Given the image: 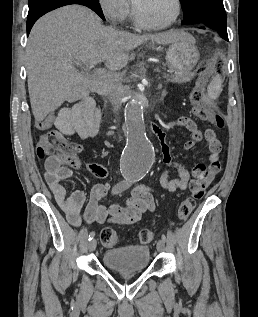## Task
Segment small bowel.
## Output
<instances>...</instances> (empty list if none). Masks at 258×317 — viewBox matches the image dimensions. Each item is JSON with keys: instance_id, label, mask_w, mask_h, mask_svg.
Masks as SVG:
<instances>
[{"instance_id": "1", "label": "small bowel", "mask_w": 258, "mask_h": 317, "mask_svg": "<svg viewBox=\"0 0 258 317\" xmlns=\"http://www.w3.org/2000/svg\"><path fill=\"white\" fill-rule=\"evenodd\" d=\"M100 122V111L95 100L90 96H85L72 107L63 108L56 114L48 115L38 124V128L44 130L54 125L65 135H77L81 139H87L97 136ZM176 125L191 133V139L184 143L186 150L193 149L199 142L205 140L209 150L208 164H198L191 175L182 163L172 159L169 147L164 141V133L157 126H153L154 133L161 141L165 165L160 176V184L169 192L187 189H191L193 192L202 190L213 181L220 171L221 143L212 129H206L203 134L196 123L188 117H179ZM86 167L99 178L108 179L110 177L108 169L100 164L89 162L86 163ZM45 168V179L49 189L59 207L64 211L67 220L74 226H80L83 222L130 225L139 221L145 212L155 210L153 193L147 186L135 187L124 205L114 203L106 206L100 201L109 192L108 183L95 184L86 202V195L82 191L75 190L68 195L66 188L62 185L63 180L72 176V171L62 159L55 156L48 157ZM172 169L178 172L177 179H169ZM83 209L84 213L81 215Z\"/></svg>"}]
</instances>
